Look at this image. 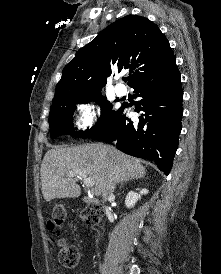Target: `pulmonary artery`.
Listing matches in <instances>:
<instances>
[{
  "label": "pulmonary artery",
  "mask_w": 221,
  "mask_h": 274,
  "mask_svg": "<svg viewBox=\"0 0 221 274\" xmlns=\"http://www.w3.org/2000/svg\"><path fill=\"white\" fill-rule=\"evenodd\" d=\"M115 92L118 96H124V95H126L127 90H126L125 86H123L122 84H118L115 87Z\"/></svg>",
  "instance_id": "e3ab8cb5"
}]
</instances>
